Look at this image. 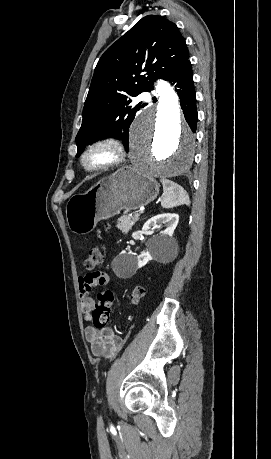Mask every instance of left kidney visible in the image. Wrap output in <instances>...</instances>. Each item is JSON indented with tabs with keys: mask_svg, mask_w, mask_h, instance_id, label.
<instances>
[{
	"mask_svg": "<svg viewBox=\"0 0 271 459\" xmlns=\"http://www.w3.org/2000/svg\"><path fill=\"white\" fill-rule=\"evenodd\" d=\"M179 222L178 214H158L154 218L147 220L143 226V231H149V229L160 228L162 224H165L166 228L161 231L160 235L153 237L150 245H148V251L136 255L133 257L130 267L132 271H136L137 267H143L146 265L149 259H160L167 251H173L175 245V239L172 237V233ZM125 255V253H121Z\"/></svg>",
	"mask_w": 271,
	"mask_h": 459,
	"instance_id": "left-kidney-1",
	"label": "left kidney"
}]
</instances>
